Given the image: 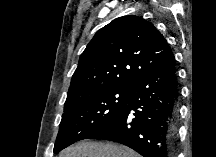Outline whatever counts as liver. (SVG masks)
Listing matches in <instances>:
<instances>
[{"label":"liver","mask_w":216,"mask_h":157,"mask_svg":"<svg viewBox=\"0 0 216 157\" xmlns=\"http://www.w3.org/2000/svg\"><path fill=\"white\" fill-rule=\"evenodd\" d=\"M59 157H139V154L112 142H82L66 148Z\"/></svg>","instance_id":"1"}]
</instances>
